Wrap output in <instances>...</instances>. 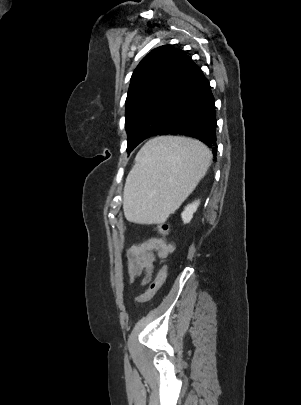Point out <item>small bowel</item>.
Wrapping results in <instances>:
<instances>
[{
  "instance_id": "c3829d8e",
  "label": "small bowel",
  "mask_w": 301,
  "mask_h": 405,
  "mask_svg": "<svg viewBox=\"0 0 301 405\" xmlns=\"http://www.w3.org/2000/svg\"><path fill=\"white\" fill-rule=\"evenodd\" d=\"M173 250V244L160 237H151L132 245L127 251L129 281L132 283L144 275L142 285L149 283L156 258H166Z\"/></svg>"
}]
</instances>
